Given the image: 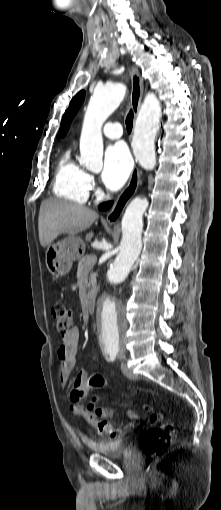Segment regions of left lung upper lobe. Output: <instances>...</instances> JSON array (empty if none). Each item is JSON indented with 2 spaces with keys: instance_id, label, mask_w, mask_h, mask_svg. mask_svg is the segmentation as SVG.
I'll use <instances>...</instances> for the list:
<instances>
[{
  "instance_id": "left-lung-upper-lobe-1",
  "label": "left lung upper lobe",
  "mask_w": 221,
  "mask_h": 510,
  "mask_svg": "<svg viewBox=\"0 0 221 510\" xmlns=\"http://www.w3.org/2000/svg\"><path fill=\"white\" fill-rule=\"evenodd\" d=\"M84 98H85V91L82 90L79 93H77L71 100L70 106L62 118L60 130H59V137H63L66 134V132L68 131L71 121H72L73 117L76 115L80 106L82 105Z\"/></svg>"
}]
</instances>
